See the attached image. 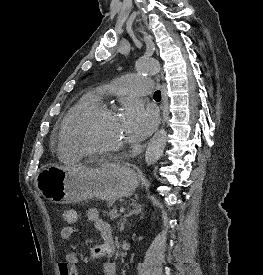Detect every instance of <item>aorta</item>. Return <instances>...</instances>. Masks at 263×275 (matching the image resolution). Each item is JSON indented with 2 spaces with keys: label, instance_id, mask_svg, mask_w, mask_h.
Wrapping results in <instances>:
<instances>
[{
  "label": "aorta",
  "instance_id": "obj_1",
  "mask_svg": "<svg viewBox=\"0 0 263 275\" xmlns=\"http://www.w3.org/2000/svg\"><path fill=\"white\" fill-rule=\"evenodd\" d=\"M136 68L138 72L147 74H156L160 71V65L158 61L154 59H140L136 64ZM166 141L167 132L164 128L155 132L145 152V162L147 166H151L159 160L166 146Z\"/></svg>",
  "mask_w": 263,
  "mask_h": 275
}]
</instances>
